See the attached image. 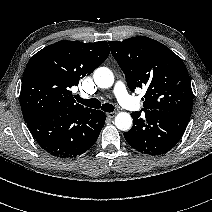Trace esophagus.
Returning a JSON list of instances; mask_svg holds the SVG:
<instances>
[{"instance_id":"1","label":"esophagus","mask_w":212,"mask_h":212,"mask_svg":"<svg viewBox=\"0 0 212 212\" xmlns=\"http://www.w3.org/2000/svg\"><path fill=\"white\" fill-rule=\"evenodd\" d=\"M115 115H116V112H109V113H107V117L108 118H114Z\"/></svg>"}]
</instances>
